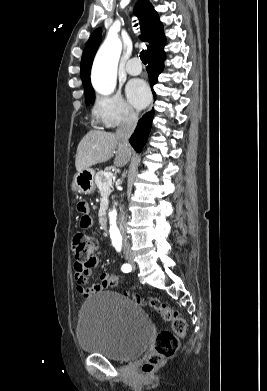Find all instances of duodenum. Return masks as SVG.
Masks as SVG:
<instances>
[{
    "mask_svg": "<svg viewBox=\"0 0 267 391\" xmlns=\"http://www.w3.org/2000/svg\"><path fill=\"white\" fill-rule=\"evenodd\" d=\"M99 222H100L101 228H102L103 230H107L108 221H107V216L105 215V213H101V214H100Z\"/></svg>",
    "mask_w": 267,
    "mask_h": 391,
    "instance_id": "obj_1",
    "label": "duodenum"
}]
</instances>
